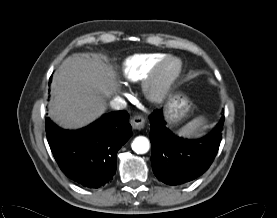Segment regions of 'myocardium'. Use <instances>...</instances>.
Wrapping results in <instances>:
<instances>
[{
  "label": "myocardium",
  "mask_w": 277,
  "mask_h": 218,
  "mask_svg": "<svg viewBox=\"0 0 277 218\" xmlns=\"http://www.w3.org/2000/svg\"><path fill=\"white\" fill-rule=\"evenodd\" d=\"M169 64L173 65V70L168 76H165L164 69ZM182 67L181 60L172 55L165 56L160 60L144 83V90L148 99L153 102L162 101L180 77Z\"/></svg>",
  "instance_id": "f54148a6"
}]
</instances>
